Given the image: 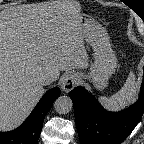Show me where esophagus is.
<instances>
[{"mask_svg": "<svg viewBox=\"0 0 144 144\" xmlns=\"http://www.w3.org/2000/svg\"><path fill=\"white\" fill-rule=\"evenodd\" d=\"M78 81L79 77L76 74H67L62 80L61 88L64 92L68 93L76 87Z\"/></svg>", "mask_w": 144, "mask_h": 144, "instance_id": "obj_1", "label": "esophagus"}]
</instances>
